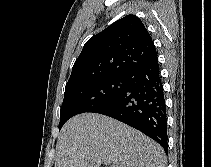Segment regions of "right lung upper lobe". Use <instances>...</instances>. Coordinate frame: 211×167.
Returning <instances> with one entry per match:
<instances>
[{
  "label": "right lung upper lobe",
  "mask_w": 211,
  "mask_h": 167,
  "mask_svg": "<svg viewBox=\"0 0 211 167\" xmlns=\"http://www.w3.org/2000/svg\"><path fill=\"white\" fill-rule=\"evenodd\" d=\"M156 58L144 24L137 16L127 15L85 43L65 89L102 77L126 76Z\"/></svg>",
  "instance_id": "1"
}]
</instances>
